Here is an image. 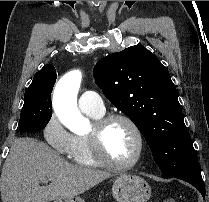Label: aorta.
I'll list each match as a JSON object with an SVG mask.
<instances>
[{
	"instance_id": "aorta-1",
	"label": "aorta",
	"mask_w": 209,
	"mask_h": 202,
	"mask_svg": "<svg viewBox=\"0 0 209 202\" xmlns=\"http://www.w3.org/2000/svg\"><path fill=\"white\" fill-rule=\"evenodd\" d=\"M81 81V71L72 70L58 81L53 95V107L57 117L74 133L86 132L90 127L89 120L77 108Z\"/></svg>"
}]
</instances>
